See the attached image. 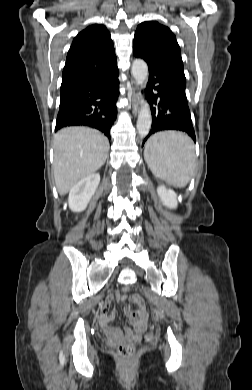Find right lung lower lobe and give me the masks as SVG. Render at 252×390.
Returning <instances> with one entry per match:
<instances>
[{
    "label": "right lung lower lobe",
    "mask_w": 252,
    "mask_h": 390,
    "mask_svg": "<svg viewBox=\"0 0 252 390\" xmlns=\"http://www.w3.org/2000/svg\"><path fill=\"white\" fill-rule=\"evenodd\" d=\"M118 75L116 66L101 79L85 83L60 96L55 130L67 126H90L110 138L111 126L117 118Z\"/></svg>",
    "instance_id": "obj_1"
}]
</instances>
